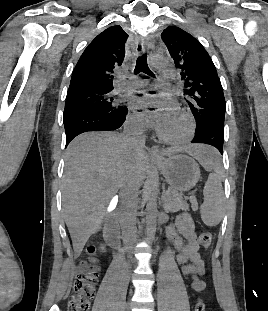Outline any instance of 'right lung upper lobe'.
<instances>
[{"label":"right lung upper lobe","mask_w":268,"mask_h":311,"mask_svg":"<svg viewBox=\"0 0 268 311\" xmlns=\"http://www.w3.org/2000/svg\"><path fill=\"white\" fill-rule=\"evenodd\" d=\"M127 38L119 25L111 26L96 36L78 60L69 89L94 87L113 90L112 78L124 60Z\"/></svg>","instance_id":"right-lung-upper-lobe-1"}]
</instances>
